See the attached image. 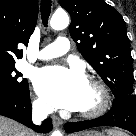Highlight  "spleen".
I'll return each mask as SVG.
<instances>
[{
	"label": "spleen",
	"mask_w": 136,
	"mask_h": 136,
	"mask_svg": "<svg viewBox=\"0 0 136 136\" xmlns=\"http://www.w3.org/2000/svg\"><path fill=\"white\" fill-rule=\"evenodd\" d=\"M108 136H126L124 133L115 130H108Z\"/></svg>",
	"instance_id": "spleen-1"
}]
</instances>
